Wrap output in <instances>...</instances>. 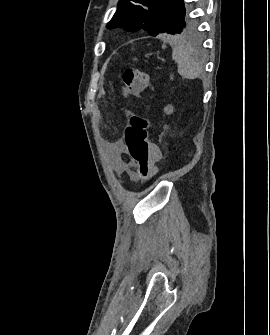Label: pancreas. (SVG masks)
I'll list each match as a JSON object with an SVG mask.
<instances>
[{"instance_id":"pancreas-1","label":"pancreas","mask_w":270,"mask_h":335,"mask_svg":"<svg viewBox=\"0 0 270 335\" xmlns=\"http://www.w3.org/2000/svg\"><path fill=\"white\" fill-rule=\"evenodd\" d=\"M170 80H174L173 76H170Z\"/></svg>"}]
</instances>
